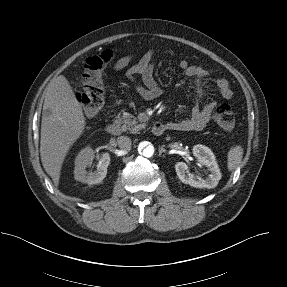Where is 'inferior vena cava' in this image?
Segmentation results:
<instances>
[{"instance_id":"1","label":"inferior vena cava","mask_w":287,"mask_h":287,"mask_svg":"<svg viewBox=\"0 0 287 287\" xmlns=\"http://www.w3.org/2000/svg\"><path fill=\"white\" fill-rule=\"evenodd\" d=\"M117 143H118V146L122 150H125V151L131 150L132 142H131V139L129 137H127V136H120V137L117 138Z\"/></svg>"}]
</instances>
